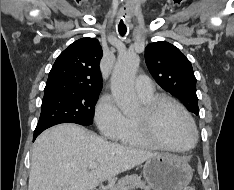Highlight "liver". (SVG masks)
Returning a JSON list of instances; mask_svg holds the SVG:
<instances>
[{"mask_svg":"<svg viewBox=\"0 0 234 190\" xmlns=\"http://www.w3.org/2000/svg\"><path fill=\"white\" fill-rule=\"evenodd\" d=\"M157 155L109 142L79 125H57L34 143L28 190H95ZM91 163L97 167L89 171Z\"/></svg>","mask_w":234,"mask_h":190,"instance_id":"6515ba94","label":"liver"}]
</instances>
